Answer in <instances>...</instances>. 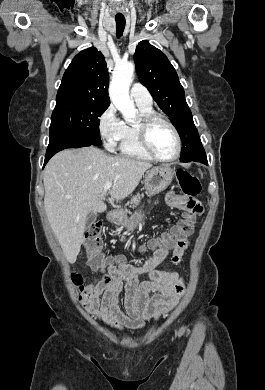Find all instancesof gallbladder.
I'll use <instances>...</instances> for the list:
<instances>
[{"mask_svg":"<svg viewBox=\"0 0 265 390\" xmlns=\"http://www.w3.org/2000/svg\"><path fill=\"white\" fill-rule=\"evenodd\" d=\"M97 214L95 212H91L86 219V229L90 228L92 224L96 221Z\"/></svg>","mask_w":265,"mask_h":390,"instance_id":"obj_1","label":"gallbladder"}]
</instances>
